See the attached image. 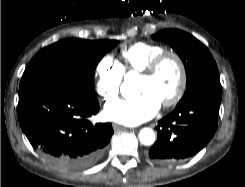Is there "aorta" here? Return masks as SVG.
<instances>
[{"mask_svg": "<svg viewBox=\"0 0 245 187\" xmlns=\"http://www.w3.org/2000/svg\"><path fill=\"white\" fill-rule=\"evenodd\" d=\"M121 94L127 100H136L139 97V89L136 81L129 75L125 76V80L121 85ZM139 140L143 145H151L155 141V133L150 128H143L139 133Z\"/></svg>", "mask_w": 245, "mask_h": 187, "instance_id": "762f6f07", "label": "aorta"}]
</instances>
